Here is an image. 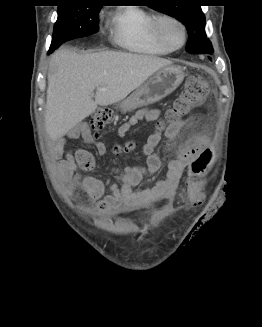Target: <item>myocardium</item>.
Returning <instances> with one entry per match:
<instances>
[{"instance_id":"1","label":"myocardium","mask_w":262,"mask_h":327,"mask_svg":"<svg viewBox=\"0 0 262 327\" xmlns=\"http://www.w3.org/2000/svg\"><path fill=\"white\" fill-rule=\"evenodd\" d=\"M166 22H172L180 28L181 33H182V40L179 45H172L165 37L164 32H163V25ZM153 30H154V33H155V36L157 37V39L166 48H168L171 51L179 50L186 44L187 36H188L187 27L179 18H177L173 15H170V14L157 15L153 22Z\"/></svg>"}]
</instances>
